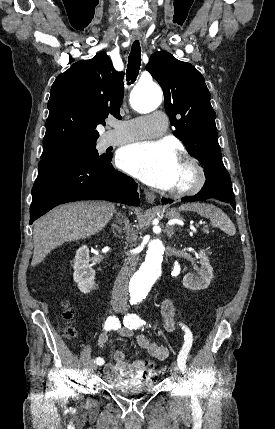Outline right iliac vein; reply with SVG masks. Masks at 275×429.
<instances>
[{"instance_id": "1", "label": "right iliac vein", "mask_w": 275, "mask_h": 429, "mask_svg": "<svg viewBox=\"0 0 275 429\" xmlns=\"http://www.w3.org/2000/svg\"><path fill=\"white\" fill-rule=\"evenodd\" d=\"M113 308H114V310L115 311H120L121 310V306L120 305H118V304H115L114 306H113ZM97 369V364L95 363V362H91L90 363V370L91 371H94V370H96Z\"/></svg>"}]
</instances>
